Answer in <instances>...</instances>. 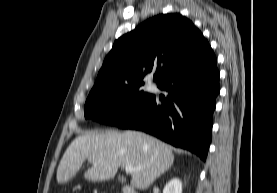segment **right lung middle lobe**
<instances>
[{"mask_svg":"<svg viewBox=\"0 0 277 193\" xmlns=\"http://www.w3.org/2000/svg\"><path fill=\"white\" fill-rule=\"evenodd\" d=\"M152 96L144 92L141 85L91 93L84 107L85 118L117 126L144 106Z\"/></svg>","mask_w":277,"mask_h":193,"instance_id":"right-lung-middle-lobe-1","label":"right lung middle lobe"}]
</instances>
